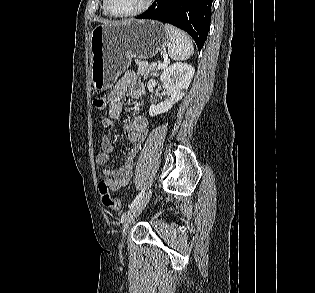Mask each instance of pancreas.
<instances>
[{"mask_svg":"<svg viewBox=\"0 0 315 293\" xmlns=\"http://www.w3.org/2000/svg\"><path fill=\"white\" fill-rule=\"evenodd\" d=\"M138 65V76H143L145 79L148 77L152 76L155 71H158V68L154 66L152 63H145L141 61H136L135 62Z\"/></svg>","mask_w":315,"mask_h":293,"instance_id":"obj_1","label":"pancreas"}]
</instances>
